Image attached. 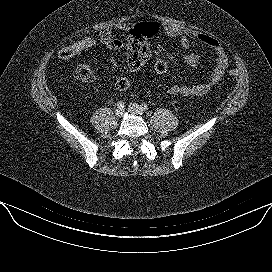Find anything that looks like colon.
<instances>
[{"instance_id":"colon-1","label":"colon","mask_w":272,"mask_h":272,"mask_svg":"<svg viewBox=\"0 0 272 272\" xmlns=\"http://www.w3.org/2000/svg\"><path fill=\"white\" fill-rule=\"evenodd\" d=\"M158 25L154 22H142L134 27V33L145 43L148 39L158 32ZM104 39L100 34H88L75 39L73 42L58 50V57L66 60L70 59L84 51H87L99 44L104 46ZM168 70L167 63L162 59H157L154 63V73L158 76L165 75ZM231 77H237L238 71L231 69L229 71ZM74 77L80 82H90L94 73L92 68L87 64H80L74 69ZM131 86V81L128 78H119L115 82V87L118 90H126Z\"/></svg>"}]
</instances>
